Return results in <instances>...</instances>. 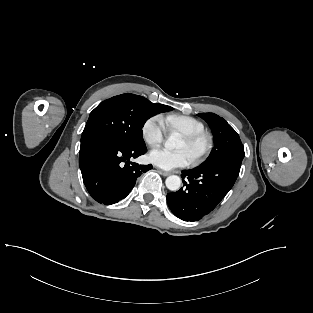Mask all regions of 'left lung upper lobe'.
Returning <instances> with one entry per match:
<instances>
[{
	"mask_svg": "<svg viewBox=\"0 0 313 313\" xmlns=\"http://www.w3.org/2000/svg\"><path fill=\"white\" fill-rule=\"evenodd\" d=\"M198 116L209 124L214 140V148L201 165L226 160L242 161L245 156L244 147L235 130L214 113H200Z\"/></svg>",
	"mask_w": 313,
	"mask_h": 313,
	"instance_id": "5c2ea615",
	"label": "left lung upper lobe"
}]
</instances>
